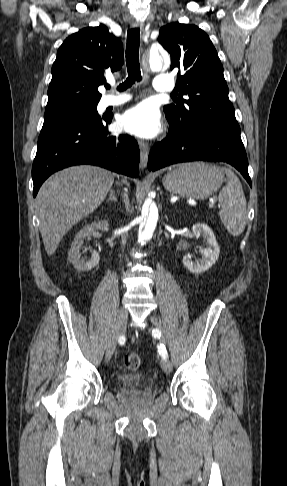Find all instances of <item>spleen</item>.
Wrapping results in <instances>:
<instances>
[{
	"label": "spleen",
	"instance_id": "1",
	"mask_svg": "<svg viewBox=\"0 0 287 486\" xmlns=\"http://www.w3.org/2000/svg\"><path fill=\"white\" fill-rule=\"evenodd\" d=\"M227 184L219 193V216L232 236H239L247 223L246 199L239 178L225 169Z\"/></svg>",
	"mask_w": 287,
	"mask_h": 486
}]
</instances>
